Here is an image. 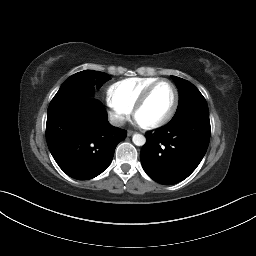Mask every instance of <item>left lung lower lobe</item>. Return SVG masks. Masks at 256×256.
<instances>
[{
    "instance_id": "left-lung-lower-lobe-1",
    "label": "left lung lower lobe",
    "mask_w": 256,
    "mask_h": 256,
    "mask_svg": "<svg viewBox=\"0 0 256 256\" xmlns=\"http://www.w3.org/2000/svg\"><path fill=\"white\" fill-rule=\"evenodd\" d=\"M209 117L186 114L146 135L140 159L144 171L161 184L187 178L204 157L210 140Z\"/></svg>"
}]
</instances>
